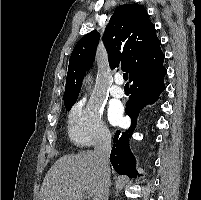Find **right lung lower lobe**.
<instances>
[{
	"label": "right lung lower lobe",
	"instance_id": "98d812e1",
	"mask_svg": "<svg viewBox=\"0 0 201 200\" xmlns=\"http://www.w3.org/2000/svg\"><path fill=\"white\" fill-rule=\"evenodd\" d=\"M166 69L162 65L152 72L137 77L132 81L131 96L127 103L126 113L131 118L132 124L125 132L117 131L114 135L110 162L118 174L136 178L139 176L135 169L136 160L130 147L131 138L140 110L147 104H153L164 91V76Z\"/></svg>",
	"mask_w": 201,
	"mask_h": 200
}]
</instances>
